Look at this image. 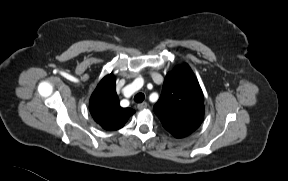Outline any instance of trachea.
Instances as JSON below:
<instances>
[{
  "instance_id": "obj_1",
  "label": "trachea",
  "mask_w": 288,
  "mask_h": 181,
  "mask_svg": "<svg viewBox=\"0 0 288 181\" xmlns=\"http://www.w3.org/2000/svg\"><path fill=\"white\" fill-rule=\"evenodd\" d=\"M145 99V95L143 93H138L134 96V101L136 103H142Z\"/></svg>"
}]
</instances>
